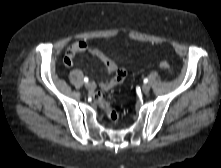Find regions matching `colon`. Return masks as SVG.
Here are the masks:
<instances>
[{
  "mask_svg": "<svg viewBox=\"0 0 221 168\" xmlns=\"http://www.w3.org/2000/svg\"><path fill=\"white\" fill-rule=\"evenodd\" d=\"M160 67L163 70L169 71L171 69L170 64L166 61L160 62ZM94 101L100 105V107L106 112L108 119L112 123H117L118 121V114L117 112L110 106V104L104 99L100 92H96L94 94Z\"/></svg>",
  "mask_w": 221,
  "mask_h": 168,
  "instance_id": "1",
  "label": "colon"
}]
</instances>
